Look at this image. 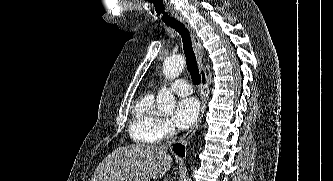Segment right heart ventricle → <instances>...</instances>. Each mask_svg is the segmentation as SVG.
I'll return each mask as SVG.
<instances>
[{
    "label": "right heart ventricle",
    "instance_id": "e07e8e85",
    "mask_svg": "<svg viewBox=\"0 0 333 181\" xmlns=\"http://www.w3.org/2000/svg\"><path fill=\"white\" fill-rule=\"evenodd\" d=\"M159 121L154 96L150 93L141 96L132 109L131 138L138 143H158L161 140L157 132Z\"/></svg>",
    "mask_w": 333,
    "mask_h": 181
}]
</instances>
